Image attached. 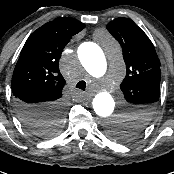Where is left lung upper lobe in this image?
<instances>
[{"instance_id":"left-lung-upper-lobe-1","label":"left lung upper lobe","mask_w":174,"mask_h":174,"mask_svg":"<svg viewBox=\"0 0 174 174\" xmlns=\"http://www.w3.org/2000/svg\"><path fill=\"white\" fill-rule=\"evenodd\" d=\"M107 29L122 47L126 77L120 88L130 104L131 129L136 132L149 123L156 110L160 95V61L149 38L132 20L117 18L108 23ZM116 136L120 140L128 137L125 132Z\"/></svg>"}]
</instances>
